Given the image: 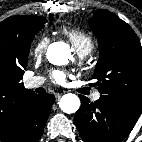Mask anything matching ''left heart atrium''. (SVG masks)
Listing matches in <instances>:
<instances>
[{
  "mask_svg": "<svg viewBox=\"0 0 142 142\" xmlns=\"http://www.w3.org/2000/svg\"><path fill=\"white\" fill-rule=\"evenodd\" d=\"M68 77V73L61 70H55L52 72L53 81L58 85H65Z\"/></svg>",
  "mask_w": 142,
  "mask_h": 142,
  "instance_id": "39dd6f15",
  "label": "left heart atrium"
}]
</instances>
